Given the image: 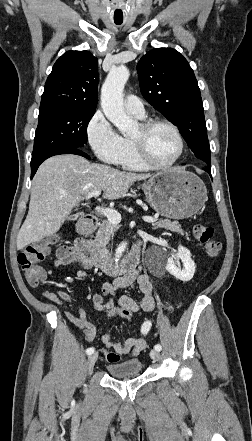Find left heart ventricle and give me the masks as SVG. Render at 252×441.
I'll return each instance as SVG.
<instances>
[{
	"label": "left heart ventricle",
	"mask_w": 252,
	"mask_h": 441,
	"mask_svg": "<svg viewBox=\"0 0 252 441\" xmlns=\"http://www.w3.org/2000/svg\"><path fill=\"white\" fill-rule=\"evenodd\" d=\"M132 137H142L140 126L137 127ZM143 139L150 158L156 163L169 162L178 152L177 138L166 126L154 127Z\"/></svg>",
	"instance_id": "1"
}]
</instances>
